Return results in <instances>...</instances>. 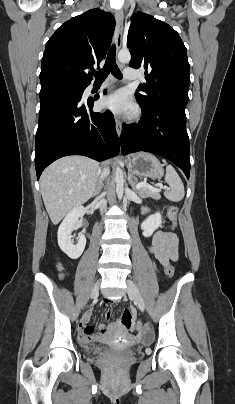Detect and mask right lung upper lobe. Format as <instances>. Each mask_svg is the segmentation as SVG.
<instances>
[{
	"label": "right lung upper lobe",
	"instance_id": "1",
	"mask_svg": "<svg viewBox=\"0 0 235 404\" xmlns=\"http://www.w3.org/2000/svg\"><path fill=\"white\" fill-rule=\"evenodd\" d=\"M114 29V16L100 9H91L65 22L46 43L41 85L90 84L93 77L88 69L105 58Z\"/></svg>",
	"mask_w": 235,
	"mask_h": 404
}]
</instances>
